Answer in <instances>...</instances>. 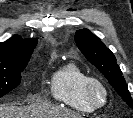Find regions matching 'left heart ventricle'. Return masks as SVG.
Segmentation results:
<instances>
[{"mask_svg":"<svg viewBox=\"0 0 133 118\" xmlns=\"http://www.w3.org/2000/svg\"><path fill=\"white\" fill-rule=\"evenodd\" d=\"M96 97H97V98H100V97H101V93H100V92H97V93H96Z\"/></svg>","mask_w":133,"mask_h":118,"instance_id":"b2bd125f","label":"left heart ventricle"}]
</instances>
